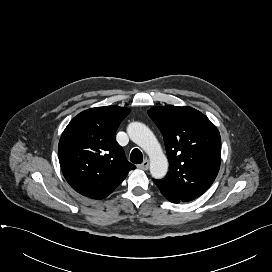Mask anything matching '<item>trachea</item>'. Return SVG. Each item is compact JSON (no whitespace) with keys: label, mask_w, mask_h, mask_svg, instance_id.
Wrapping results in <instances>:
<instances>
[{"label":"trachea","mask_w":272,"mask_h":272,"mask_svg":"<svg viewBox=\"0 0 272 272\" xmlns=\"http://www.w3.org/2000/svg\"><path fill=\"white\" fill-rule=\"evenodd\" d=\"M130 161L134 164L142 163V161H143L142 152L137 148L133 149L130 154Z\"/></svg>","instance_id":"trachea-1"}]
</instances>
